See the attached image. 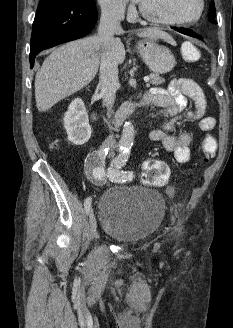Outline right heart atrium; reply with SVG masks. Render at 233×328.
Instances as JSON below:
<instances>
[{
  "label": "right heart atrium",
  "instance_id": "obj_1",
  "mask_svg": "<svg viewBox=\"0 0 233 328\" xmlns=\"http://www.w3.org/2000/svg\"><path fill=\"white\" fill-rule=\"evenodd\" d=\"M102 13L113 19L123 16L126 9V0H97Z\"/></svg>",
  "mask_w": 233,
  "mask_h": 328
}]
</instances>
